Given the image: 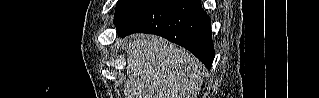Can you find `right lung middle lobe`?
<instances>
[{
  "instance_id": "right-lung-middle-lobe-1",
  "label": "right lung middle lobe",
  "mask_w": 319,
  "mask_h": 98,
  "mask_svg": "<svg viewBox=\"0 0 319 98\" xmlns=\"http://www.w3.org/2000/svg\"><path fill=\"white\" fill-rule=\"evenodd\" d=\"M147 2L149 0H119L116 6L114 24L117 25Z\"/></svg>"
}]
</instances>
